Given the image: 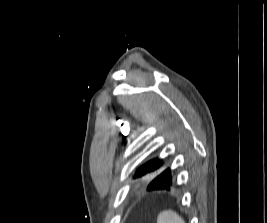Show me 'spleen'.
<instances>
[{"label":"spleen","mask_w":267,"mask_h":223,"mask_svg":"<svg viewBox=\"0 0 267 223\" xmlns=\"http://www.w3.org/2000/svg\"><path fill=\"white\" fill-rule=\"evenodd\" d=\"M157 223H185V221L176 212L167 210L159 214Z\"/></svg>","instance_id":"3e777b00"}]
</instances>
